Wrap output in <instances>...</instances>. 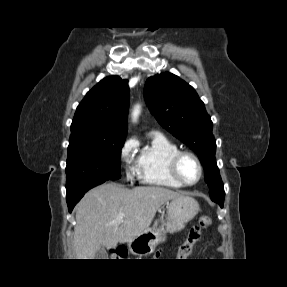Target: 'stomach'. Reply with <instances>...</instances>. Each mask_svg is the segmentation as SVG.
<instances>
[{
  "label": "stomach",
  "instance_id": "obj_1",
  "mask_svg": "<svg viewBox=\"0 0 287 287\" xmlns=\"http://www.w3.org/2000/svg\"><path fill=\"white\" fill-rule=\"evenodd\" d=\"M198 202L189 196L182 195L167 203L165 228H148L128 242L132 254L145 256L151 254L157 244L164 242L166 233L181 231L199 212Z\"/></svg>",
  "mask_w": 287,
  "mask_h": 287
}]
</instances>
